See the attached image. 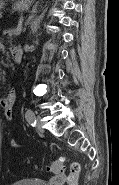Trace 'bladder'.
I'll return each instance as SVG.
<instances>
[{"mask_svg":"<svg viewBox=\"0 0 119 185\" xmlns=\"http://www.w3.org/2000/svg\"><path fill=\"white\" fill-rule=\"evenodd\" d=\"M11 185H48V184L39 179L26 178V179L15 181Z\"/></svg>","mask_w":119,"mask_h":185,"instance_id":"1","label":"bladder"}]
</instances>
